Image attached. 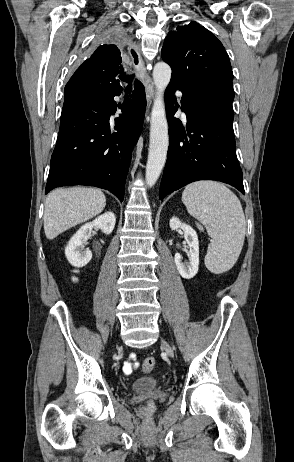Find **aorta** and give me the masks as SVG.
<instances>
[{
    "instance_id": "aorta-1",
    "label": "aorta",
    "mask_w": 294,
    "mask_h": 462,
    "mask_svg": "<svg viewBox=\"0 0 294 462\" xmlns=\"http://www.w3.org/2000/svg\"><path fill=\"white\" fill-rule=\"evenodd\" d=\"M170 79V66L164 62L157 63L153 70L156 95L151 112L150 143L145 175L148 187H152L157 182L167 158L169 136L164 91Z\"/></svg>"
}]
</instances>
